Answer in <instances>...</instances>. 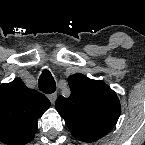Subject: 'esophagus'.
<instances>
[{
    "mask_svg": "<svg viewBox=\"0 0 145 145\" xmlns=\"http://www.w3.org/2000/svg\"><path fill=\"white\" fill-rule=\"evenodd\" d=\"M48 98L51 101V103L54 104L57 98V94L56 93L50 94L48 95Z\"/></svg>",
    "mask_w": 145,
    "mask_h": 145,
    "instance_id": "esophagus-1",
    "label": "esophagus"
}]
</instances>
